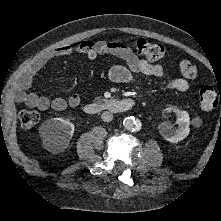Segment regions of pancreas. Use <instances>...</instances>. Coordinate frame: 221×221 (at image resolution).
<instances>
[{
    "label": "pancreas",
    "mask_w": 221,
    "mask_h": 221,
    "mask_svg": "<svg viewBox=\"0 0 221 221\" xmlns=\"http://www.w3.org/2000/svg\"><path fill=\"white\" fill-rule=\"evenodd\" d=\"M102 101H104V99H103L102 97H96V98L94 99V102H95V103H101Z\"/></svg>",
    "instance_id": "cf45deb5"
}]
</instances>
